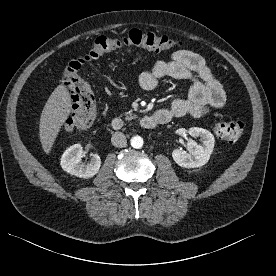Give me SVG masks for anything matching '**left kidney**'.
Instances as JSON below:
<instances>
[{"instance_id":"5707ae66","label":"left kidney","mask_w":276,"mask_h":276,"mask_svg":"<svg viewBox=\"0 0 276 276\" xmlns=\"http://www.w3.org/2000/svg\"><path fill=\"white\" fill-rule=\"evenodd\" d=\"M188 134L192 137H200L202 143L197 144L194 140L189 139L187 148L189 153L182 149L172 151L173 160L184 168H197L205 165L213 152L215 138L211 132L199 127H191Z\"/></svg>"}]
</instances>
